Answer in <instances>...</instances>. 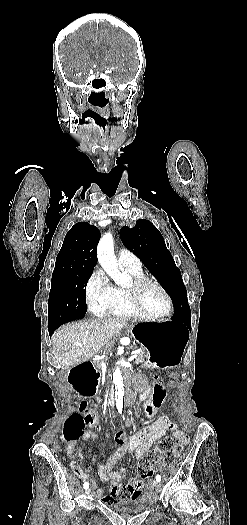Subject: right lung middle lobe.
<instances>
[{"label":"right lung middle lobe","instance_id":"dd1d6c3e","mask_svg":"<svg viewBox=\"0 0 247 525\" xmlns=\"http://www.w3.org/2000/svg\"><path fill=\"white\" fill-rule=\"evenodd\" d=\"M90 271H53L48 300V327L83 318Z\"/></svg>","mask_w":247,"mask_h":525}]
</instances>
